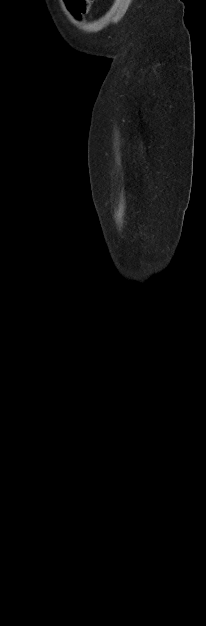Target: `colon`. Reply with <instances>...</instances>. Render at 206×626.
<instances>
[{
  "mask_svg": "<svg viewBox=\"0 0 206 626\" xmlns=\"http://www.w3.org/2000/svg\"><path fill=\"white\" fill-rule=\"evenodd\" d=\"M92 2L93 0H65L67 7L76 17L86 14Z\"/></svg>",
  "mask_w": 206,
  "mask_h": 626,
  "instance_id": "obj_1",
  "label": "colon"
}]
</instances>
